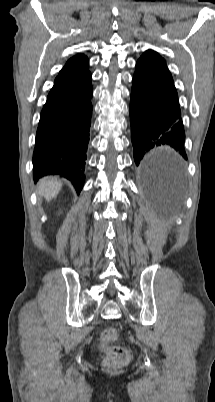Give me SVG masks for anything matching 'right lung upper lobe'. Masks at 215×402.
<instances>
[{"label": "right lung upper lobe", "instance_id": "cb5924a9", "mask_svg": "<svg viewBox=\"0 0 215 402\" xmlns=\"http://www.w3.org/2000/svg\"><path fill=\"white\" fill-rule=\"evenodd\" d=\"M88 66L89 60L84 54H77L70 58L56 77L48 96L62 93L79 85L91 74Z\"/></svg>", "mask_w": 215, "mask_h": 402}]
</instances>
